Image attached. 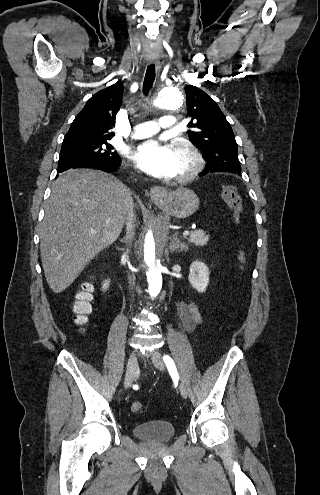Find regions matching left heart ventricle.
Here are the masks:
<instances>
[{
    "mask_svg": "<svg viewBox=\"0 0 320 495\" xmlns=\"http://www.w3.org/2000/svg\"><path fill=\"white\" fill-rule=\"evenodd\" d=\"M174 152H175V156H176L175 177H177L184 170H186V168L188 167V160H187L186 156L182 152H180V151H178L176 149H174Z\"/></svg>",
    "mask_w": 320,
    "mask_h": 495,
    "instance_id": "left-heart-ventricle-1",
    "label": "left heart ventricle"
}]
</instances>
